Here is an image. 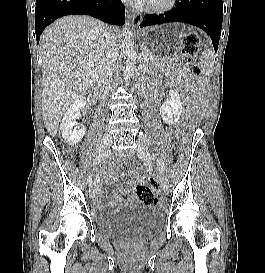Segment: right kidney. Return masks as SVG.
<instances>
[{"mask_svg":"<svg viewBox=\"0 0 265 273\" xmlns=\"http://www.w3.org/2000/svg\"><path fill=\"white\" fill-rule=\"evenodd\" d=\"M86 102L85 97L79 98L67 109L63 116L60 130L63 139L70 146L78 144L85 135L86 128L84 126L78 130L73 127L76 124V118L80 116L81 111L85 108Z\"/></svg>","mask_w":265,"mask_h":273,"instance_id":"1","label":"right kidney"}]
</instances>
